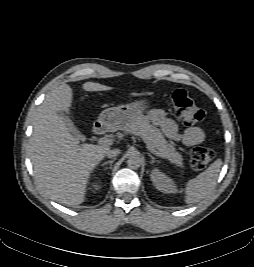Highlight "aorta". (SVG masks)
<instances>
[{"instance_id":"obj_1","label":"aorta","mask_w":254,"mask_h":267,"mask_svg":"<svg viewBox=\"0 0 254 267\" xmlns=\"http://www.w3.org/2000/svg\"><path fill=\"white\" fill-rule=\"evenodd\" d=\"M142 164V159L140 155L136 152H132L128 159H127V165L131 169H138Z\"/></svg>"}]
</instances>
